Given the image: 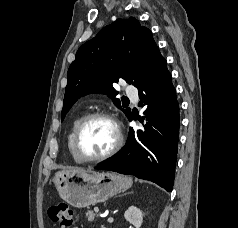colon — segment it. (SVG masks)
<instances>
[{
  "label": "colon",
  "instance_id": "obj_1",
  "mask_svg": "<svg viewBox=\"0 0 238 228\" xmlns=\"http://www.w3.org/2000/svg\"><path fill=\"white\" fill-rule=\"evenodd\" d=\"M73 213V209L66 203H58L48 209L50 220L63 228H70L73 223Z\"/></svg>",
  "mask_w": 238,
  "mask_h": 228
}]
</instances>
